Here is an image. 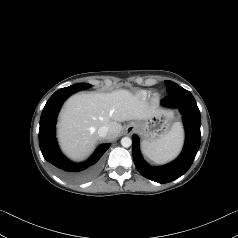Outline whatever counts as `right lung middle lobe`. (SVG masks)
Returning <instances> with one entry per match:
<instances>
[{"mask_svg":"<svg viewBox=\"0 0 238 238\" xmlns=\"http://www.w3.org/2000/svg\"><path fill=\"white\" fill-rule=\"evenodd\" d=\"M77 85L78 87H80V89H86V88H89L91 87L92 85L88 84V83H78V84H75Z\"/></svg>","mask_w":238,"mask_h":238,"instance_id":"obj_1","label":"right lung middle lobe"}]
</instances>
